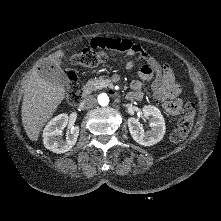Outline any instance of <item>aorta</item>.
I'll return each mask as SVG.
<instances>
[{
	"instance_id": "1",
	"label": "aorta",
	"mask_w": 221,
	"mask_h": 221,
	"mask_svg": "<svg viewBox=\"0 0 221 221\" xmlns=\"http://www.w3.org/2000/svg\"><path fill=\"white\" fill-rule=\"evenodd\" d=\"M98 103L101 105V106H106L108 105L109 103V97L106 93H101L99 96H98Z\"/></svg>"
}]
</instances>
